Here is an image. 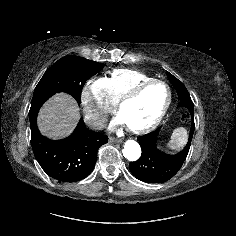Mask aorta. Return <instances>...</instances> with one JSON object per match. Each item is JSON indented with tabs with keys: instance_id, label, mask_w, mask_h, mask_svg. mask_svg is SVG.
<instances>
[{
	"instance_id": "aorta-1",
	"label": "aorta",
	"mask_w": 236,
	"mask_h": 236,
	"mask_svg": "<svg viewBox=\"0 0 236 236\" xmlns=\"http://www.w3.org/2000/svg\"><path fill=\"white\" fill-rule=\"evenodd\" d=\"M123 156L129 161H136L141 156V147L134 140H127L123 148Z\"/></svg>"
}]
</instances>
